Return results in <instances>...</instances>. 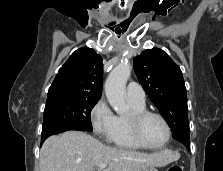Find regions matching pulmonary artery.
Here are the masks:
<instances>
[{"label": "pulmonary artery", "instance_id": "e3ab8cb5", "mask_svg": "<svg viewBox=\"0 0 223 171\" xmlns=\"http://www.w3.org/2000/svg\"><path fill=\"white\" fill-rule=\"evenodd\" d=\"M127 98L129 101L138 103V104H145V91L136 82H130L127 86Z\"/></svg>", "mask_w": 223, "mask_h": 171}]
</instances>
